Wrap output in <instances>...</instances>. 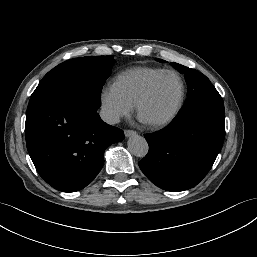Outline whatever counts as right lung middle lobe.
Here are the masks:
<instances>
[{
  "label": "right lung middle lobe",
  "mask_w": 257,
  "mask_h": 257,
  "mask_svg": "<svg viewBox=\"0 0 257 257\" xmlns=\"http://www.w3.org/2000/svg\"><path fill=\"white\" fill-rule=\"evenodd\" d=\"M113 56H87L59 64L40 81L31 98L54 92L81 91L96 103H101L102 87L111 73Z\"/></svg>",
  "instance_id": "obj_1"
}]
</instances>
